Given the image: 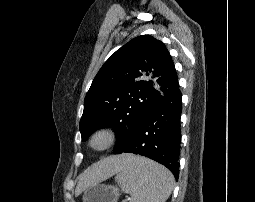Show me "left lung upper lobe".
<instances>
[{"mask_svg":"<svg viewBox=\"0 0 255 202\" xmlns=\"http://www.w3.org/2000/svg\"><path fill=\"white\" fill-rule=\"evenodd\" d=\"M178 88L165 45L150 35L132 39L104 63L86 94L82 140L99 128L113 126L114 153L121 152L152 108Z\"/></svg>","mask_w":255,"mask_h":202,"instance_id":"obj_1","label":"left lung upper lobe"}]
</instances>
